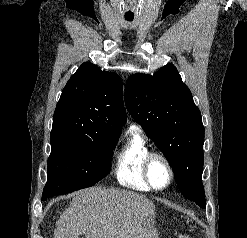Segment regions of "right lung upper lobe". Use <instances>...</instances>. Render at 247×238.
Instances as JSON below:
<instances>
[{
    "label": "right lung upper lobe",
    "instance_id": "obj_1",
    "mask_svg": "<svg viewBox=\"0 0 247 238\" xmlns=\"http://www.w3.org/2000/svg\"><path fill=\"white\" fill-rule=\"evenodd\" d=\"M120 77L85 62L64 87L50 137L85 133L119 139L126 121Z\"/></svg>",
    "mask_w": 247,
    "mask_h": 238
}]
</instances>
